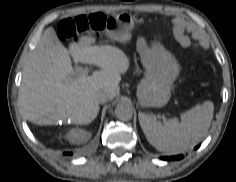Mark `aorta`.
Masks as SVG:
<instances>
[{
    "mask_svg": "<svg viewBox=\"0 0 236 182\" xmlns=\"http://www.w3.org/2000/svg\"><path fill=\"white\" fill-rule=\"evenodd\" d=\"M115 115L119 120L128 121L133 117V109L129 103L120 102L115 108Z\"/></svg>",
    "mask_w": 236,
    "mask_h": 182,
    "instance_id": "aorta-1",
    "label": "aorta"
}]
</instances>
